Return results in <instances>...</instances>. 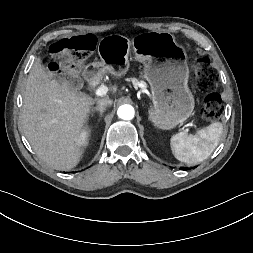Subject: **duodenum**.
Returning a JSON list of instances; mask_svg holds the SVG:
<instances>
[{"instance_id": "410a0bca", "label": "duodenum", "mask_w": 253, "mask_h": 253, "mask_svg": "<svg viewBox=\"0 0 253 253\" xmlns=\"http://www.w3.org/2000/svg\"><path fill=\"white\" fill-rule=\"evenodd\" d=\"M89 76H90V81H91V82H94V79H93V77H92V74H90Z\"/></svg>"}]
</instances>
